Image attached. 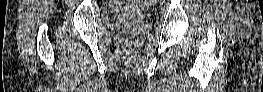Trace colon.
<instances>
[{
	"label": "colon",
	"instance_id": "1",
	"mask_svg": "<svg viewBox=\"0 0 263 92\" xmlns=\"http://www.w3.org/2000/svg\"><path fill=\"white\" fill-rule=\"evenodd\" d=\"M111 4L117 9H122L124 5V3L121 1H112Z\"/></svg>",
	"mask_w": 263,
	"mask_h": 92
}]
</instances>
